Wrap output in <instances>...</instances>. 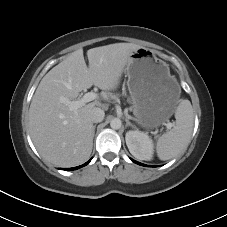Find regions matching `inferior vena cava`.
<instances>
[{"label": "inferior vena cava", "instance_id": "inferior-vena-cava-1", "mask_svg": "<svg viewBox=\"0 0 227 227\" xmlns=\"http://www.w3.org/2000/svg\"><path fill=\"white\" fill-rule=\"evenodd\" d=\"M104 116L105 113L101 108L95 107L91 111V121L94 123L103 121Z\"/></svg>", "mask_w": 227, "mask_h": 227}]
</instances>
